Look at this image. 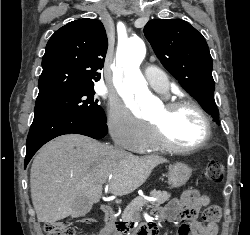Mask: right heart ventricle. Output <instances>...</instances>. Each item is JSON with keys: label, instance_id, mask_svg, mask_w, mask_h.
I'll return each instance as SVG.
<instances>
[{"label": "right heart ventricle", "instance_id": "e07e8e85", "mask_svg": "<svg viewBox=\"0 0 250 235\" xmlns=\"http://www.w3.org/2000/svg\"><path fill=\"white\" fill-rule=\"evenodd\" d=\"M161 146L158 144L153 131L151 130L150 133V138L148 140V142L146 143V145L142 148L141 151L143 152H153V151H157L160 150Z\"/></svg>", "mask_w": 250, "mask_h": 235}]
</instances>
